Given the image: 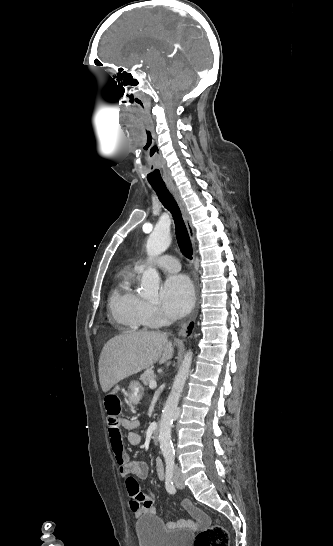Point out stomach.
Returning <instances> with one entry per match:
<instances>
[{
	"mask_svg": "<svg viewBox=\"0 0 333 546\" xmlns=\"http://www.w3.org/2000/svg\"><path fill=\"white\" fill-rule=\"evenodd\" d=\"M144 389L139 382H131L128 386L127 400L130 404H137L142 398Z\"/></svg>",
	"mask_w": 333,
	"mask_h": 546,
	"instance_id": "obj_1",
	"label": "stomach"
}]
</instances>
